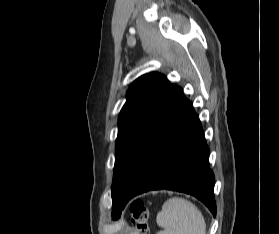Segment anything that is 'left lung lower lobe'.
Listing matches in <instances>:
<instances>
[{
  "label": "left lung lower lobe",
  "instance_id": "1",
  "mask_svg": "<svg viewBox=\"0 0 279 234\" xmlns=\"http://www.w3.org/2000/svg\"><path fill=\"white\" fill-rule=\"evenodd\" d=\"M198 115L180 87L171 85L135 155L121 192L122 206L156 189L191 194L216 215L214 174Z\"/></svg>",
  "mask_w": 279,
  "mask_h": 234
}]
</instances>
